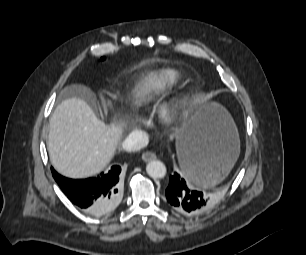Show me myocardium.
Masks as SVG:
<instances>
[{"label":"myocardium","mask_w":306,"mask_h":255,"mask_svg":"<svg viewBox=\"0 0 306 255\" xmlns=\"http://www.w3.org/2000/svg\"><path fill=\"white\" fill-rule=\"evenodd\" d=\"M182 105V100L176 98L175 100L163 104L158 111V118L160 122L164 124H172L177 120L180 109Z\"/></svg>","instance_id":"myocardium-1"}]
</instances>
